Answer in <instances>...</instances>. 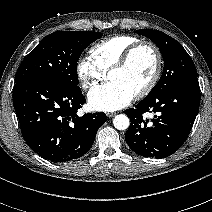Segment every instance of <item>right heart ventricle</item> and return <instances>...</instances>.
Masks as SVG:
<instances>
[{"instance_id": "e07e8e85", "label": "right heart ventricle", "mask_w": 212, "mask_h": 212, "mask_svg": "<svg viewBox=\"0 0 212 212\" xmlns=\"http://www.w3.org/2000/svg\"><path fill=\"white\" fill-rule=\"evenodd\" d=\"M139 39L131 35H116L104 39L89 50L91 60L105 73L114 65L123 53Z\"/></svg>"}]
</instances>
